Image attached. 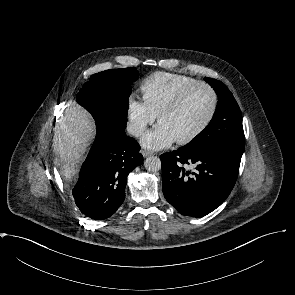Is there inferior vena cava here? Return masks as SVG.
<instances>
[{
	"mask_svg": "<svg viewBox=\"0 0 295 295\" xmlns=\"http://www.w3.org/2000/svg\"><path fill=\"white\" fill-rule=\"evenodd\" d=\"M127 131L134 136H140L144 131V126L140 123H129L127 125Z\"/></svg>",
	"mask_w": 295,
	"mask_h": 295,
	"instance_id": "1",
	"label": "inferior vena cava"
}]
</instances>
